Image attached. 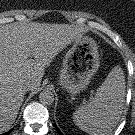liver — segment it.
<instances>
[{
    "instance_id": "obj_1",
    "label": "liver",
    "mask_w": 135,
    "mask_h": 135,
    "mask_svg": "<svg viewBox=\"0 0 135 135\" xmlns=\"http://www.w3.org/2000/svg\"><path fill=\"white\" fill-rule=\"evenodd\" d=\"M51 27L0 26V133L14 123L26 93L24 86L29 83L37 91L45 67L67 44L82 37L81 31L69 25Z\"/></svg>"
}]
</instances>
